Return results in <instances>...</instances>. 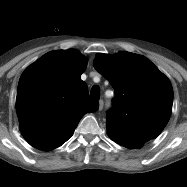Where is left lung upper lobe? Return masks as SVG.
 <instances>
[{"label": "left lung upper lobe", "mask_w": 187, "mask_h": 187, "mask_svg": "<svg viewBox=\"0 0 187 187\" xmlns=\"http://www.w3.org/2000/svg\"><path fill=\"white\" fill-rule=\"evenodd\" d=\"M93 65L115 90L107 115L108 136L128 148H141L155 139L172 112L169 79L146 57L126 51L98 53Z\"/></svg>", "instance_id": "5c2ea615"}]
</instances>
